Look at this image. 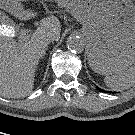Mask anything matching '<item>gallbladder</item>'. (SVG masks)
I'll list each match as a JSON object with an SVG mask.
<instances>
[{
	"label": "gallbladder",
	"instance_id": "bac80fb5",
	"mask_svg": "<svg viewBox=\"0 0 135 135\" xmlns=\"http://www.w3.org/2000/svg\"><path fill=\"white\" fill-rule=\"evenodd\" d=\"M0 24H8V18L4 12L0 11Z\"/></svg>",
	"mask_w": 135,
	"mask_h": 135
}]
</instances>
